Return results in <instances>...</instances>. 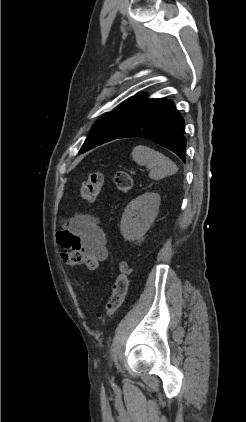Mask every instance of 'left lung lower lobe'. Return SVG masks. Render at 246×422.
I'll return each instance as SVG.
<instances>
[{
  "mask_svg": "<svg viewBox=\"0 0 246 422\" xmlns=\"http://www.w3.org/2000/svg\"><path fill=\"white\" fill-rule=\"evenodd\" d=\"M184 134V119L173 101L161 99L117 138H146L173 151L185 162L186 138Z\"/></svg>",
  "mask_w": 246,
  "mask_h": 422,
  "instance_id": "0a47b994",
  "label": "left lung lower lobe"
}]
</instances>
